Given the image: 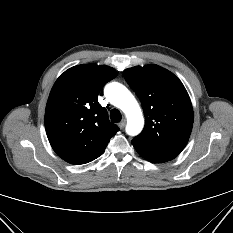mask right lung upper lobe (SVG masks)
<instances>
[{"mask_svg":"<svg viewBox=\"0 0 233 233\" xmlns=\"http://www.w3.org/2000/svg\"><path fill=\"white\" fill-rule=\"evenodd\" d=\"M116 76L109 66L86 64L68 69L55 82L46 105L45 128L53 150L66 162L93 161L119 131L98 103L100 89Z\"/></svg>","mask_w":233,"mask_h":233,"instance_id":"obj_1","label":"right lung upper lobe"}]
</instances>
